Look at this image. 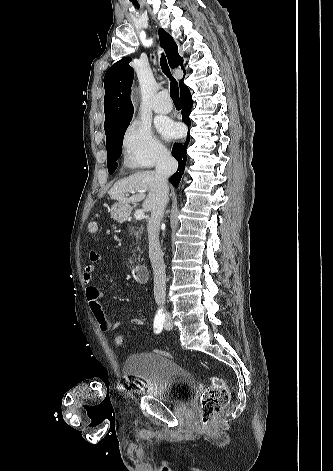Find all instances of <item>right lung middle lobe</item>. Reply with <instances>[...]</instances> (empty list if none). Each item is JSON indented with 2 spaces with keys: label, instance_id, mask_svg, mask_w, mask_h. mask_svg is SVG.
Here are the masks:
<instances>
[{
  "label": "right lung middle lobe",
  "instance_id": "dd1d6c3e",
  "mask_svg": "<svg viewBox=\"0 0 333 471\" xmlns=\"http://www.w3.org/2000/svg\"><path fill=\"white\" fill-rule=\"evenodd\" d=\"M131 119L121 122L109 130L105 131L107 146V162L109 173L112 174L117 168L116 160L120 157L122 151V141L124 133Z\"/></svg>",
  "mask_w": 333,
  "mask_h": 471
}]
</instances>
